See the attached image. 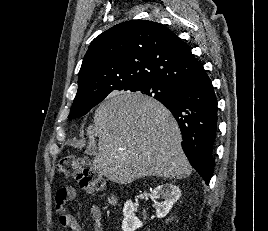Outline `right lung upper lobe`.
Instances as JSON below:
<instances>
[{
	"label": "right lung upper lobe",
	"instance_id": "obj_1",
	"mask_svg": "<svg viewBox=\"0 0 268 231\" xmlns=\"http://www.w3.org/2000/svg\"><path fill=\"white\" fill-rule=\"evenodd\" d=\"M204 71L190 48L162 24L126 21L91 42L79 71L73 104L96 103L115 90L146 83L172 88Z\"/></svg>",
	"mask_w": 268,
	"mask_h": 231
}]
</instances>
